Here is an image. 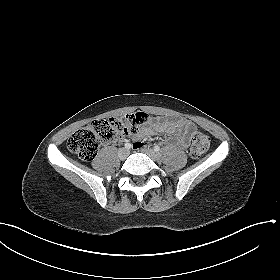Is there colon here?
Wrapping results in <instances>:
<instances>
[{
  "instance_id": "obj_1",
  "label": "colon",
  "mask_w": 280,
  "mask_h": 280,
  "mask_svg": "<svg viewBox=\"0 0 280 280\" xmlns=\"http://www.w3.org/2000/svg\"><path fill=\"white\" fill-rule=\"evenodd\" d=\"M148 119L147 114L139 112L120 119L96 120L72 134L67 143L68 149L75 153L81 161H91L101 145L135 134ZM209 143L207 135L201 132L193 133L190 156L199 158L207 151ZM134 147L137 148L135 145Z\"/></svg>"
}]
</instances>
